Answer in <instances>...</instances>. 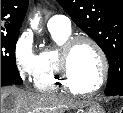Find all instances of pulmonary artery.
<instances>
[{
	"label": "pulmonary artery",
	"instance_id": "pulmonary-artery-1",
	"mask_svg": "<svg viewBox=\"0 0 123 113\" xmlns=\"http://www.w3.org/2000/svg\"><path fill=\"white\" fill-rule=\"evenodd\" d=\"M47 26L50 31H70L71 21L64 15H54L49 19Z\"/></svg>",
	"mask_w": 123,
	"mask_h": 113
}]
</instances>
